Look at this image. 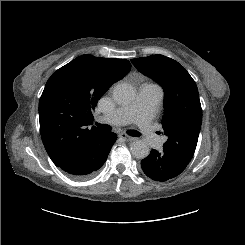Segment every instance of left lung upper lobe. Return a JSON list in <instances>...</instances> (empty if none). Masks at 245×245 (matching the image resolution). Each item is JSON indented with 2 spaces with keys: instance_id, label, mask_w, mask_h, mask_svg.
I'll use <instances>...</instances> for the list:
<instances>
[{
  "instance_id": "1",
  "label": "left lung upper lobe",
  "mask_w": 245,
  "mask_h": 245,
  "mask_svg": "<svg viewBox=\"0 0 245 245\" xmlns=\"http://www.w3.org/2000/svg\"><path fill=\"white\" fill-rule=\"evenodd\" d=\"M143 74L157 81L164 90L163 133L167 147L187 160L196 149L202 122V109L195 81L177 61L163 55L132 59Z\"/></svg>"
}]
</instances>
